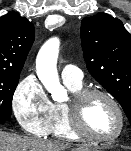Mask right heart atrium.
Masks as SVG:
<instances>
[{"label": "right heart atrium", "instance_id": "right-heart-atrium-1", "mask_svg": "<svg viewBox=\"0 0 131 151\" xmlns=\"http://www.w3.org/2000/svg\"><path fill=\"white\" fill-rule=\"evenodd\" d=\"M13 113L29 134L44 136L52 118V102L34 75H27L16 86L11 99Z\"/></svg>", "mask_w": 131, "mask_h": 151}]
</instances>
